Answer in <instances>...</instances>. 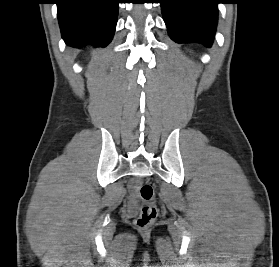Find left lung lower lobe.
<instances>
[{
	"label": "left lung lower lobe",
	"mask_w": 279,
	"mask_h": 267,
	"mask_svg": "<svg viewBox=\"0 0 279 267\" xmlns=\"http://www.w3.org/2000/svg\"><path fill=\"white\" fill-rule=\"evenodd\" d=\"M220 0H160L170 37L177 43H201L211 47Z\"/></svg>",
	"instance_id": "1"
}]
</instances>
